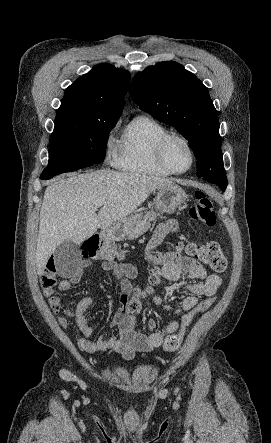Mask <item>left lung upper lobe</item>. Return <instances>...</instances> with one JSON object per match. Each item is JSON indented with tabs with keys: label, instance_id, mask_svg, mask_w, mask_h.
Wrapping results in <instances>:
<instances>
[{
	"label": "left lung upper lobe",
	"instance_id": "1",
	"mask_svg": "<svg viewBox=\"0 0 271 443\" xmlns=\"http://www.w3.org/2000/svg\"><path fill=\"white\" fill-rule=\"evenodd\" d=\"M130 94L139 107L189 141L198 177L227 187L217 111L206 86L177 62H160L133 78Z\"/></svg>",
	"mask_w": 271,
	"mask_h": 443
}]
</instances>
